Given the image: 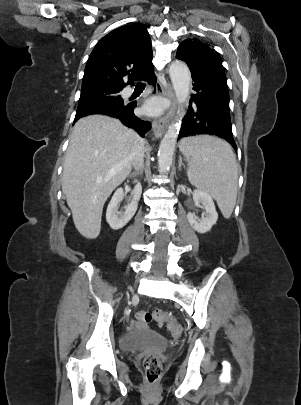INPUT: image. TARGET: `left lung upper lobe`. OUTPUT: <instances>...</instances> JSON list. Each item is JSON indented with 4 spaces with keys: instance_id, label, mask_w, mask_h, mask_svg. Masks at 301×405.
<instances>
[{
    "instance_id": "5c2ea615",
    "label": "left lung upper lobe",
    "mask_w": 301,
    "mask_h": 405,
    "mask_svg": "<svg viewBox=\"0 0 301 405\" xmlns=\"http://www.w3.org/2000/svg\"><path fill=\"white\" fill-rule=\"evenodd\" d=\"M177 59L185 61L191 72L200 74L228 94L225 72L218 55L198 39H186L177 49Z\"/></svg>"
}]
</instances>
